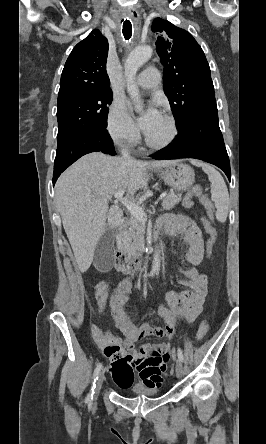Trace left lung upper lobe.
Returning a JSON list of instances; mask_svg holds the SVG:
<instances>
[{"mask_svg":"<svg viewBox=\"0 0 266 444\" xmlns=\"http://www.w3.org/2000/svg\"><path fill=\"white\" fill-rule=\"evenodd\" d=\"M156 48L163 69V87L175 121L181 124L190 114L217 108L210 67L193 36L161 18L154 19ZM167 34L164 35V34Z\"/></svg>","mask_w":266,"mask_h":444,"instance_id":"1","label":"left lung upper lobe"}]
</instances>
